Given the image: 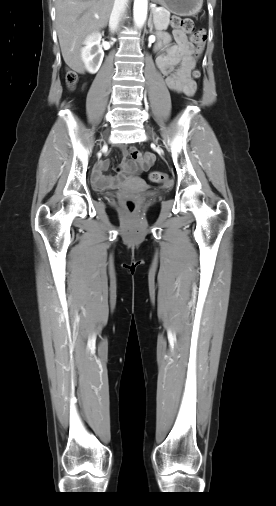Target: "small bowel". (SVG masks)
Returning <instances> with one entry per match:
<instances>
[{
    "instance_id": "small-bowel-1",
    "label": "small bowel",
    "mask_w": 276,
    "mask_h": 506,
    "mask_svg": "<svg viewBox=\"0 0 276 506\" xmlns=\"http://www.w3.org/2000/svg\"><path fill=\"white\" fill-rule=\"evenodd\" d=\"M174 38L176 44H168V37H162L163 41L168 44V49L166 54L157 56V65L165 77V83L169 89L191 96L196 89V84L190 77L193 67L191 58L193 47L187 34L180 30L174 31ZM153 160L151 154H142L135 147L123 148L122 162L116 167L117 174L105 177L103 171L107 168L108 162L106 160L100 161L93 172L94 184L97 188L104 189L124 183L128 178L136 175L138 166L142 170H146L151 166Z\"/></svg>"
}]
</instances>
